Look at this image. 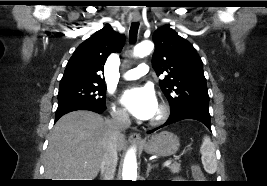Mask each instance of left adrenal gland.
Wrapping results in <instances>:
<instances>
[{
	"instance_id": "a2214340",
	"label": "left adrenal gland",
	"mask_w": 267,
	"mask_h": 186,
	"mask_svg": "<svg viewBox=\"0 0 267 186\" xmlns=\"http://www.w3.org/2000/svg\"><path fill=\"white\" fill-rule=\"evenodd\" d=\"M153 167H154V166L151 165V163H148V164H147V171H146V176H147V177L149 176V173H150V171H151V169H152Z\"/></svg>"
}]
</instances>
